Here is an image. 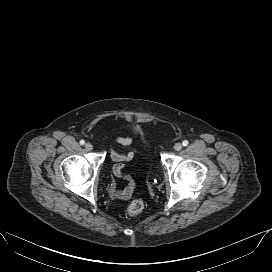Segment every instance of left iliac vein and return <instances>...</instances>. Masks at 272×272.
Wrapping results in <instances>:
<instances>
[{"label":"left iliac vein","instance_id":"1","mask_svg":"<svg viewBox=\"0 0 272 272\" xmlns=\"http://www.w3.org/2000/svg\"><path fill=\"white\" fill-rule=\"evenodd\" d=\"M182 144L181 143H176L175 145H174V149L176 150V151H180L181 149H182Z\"/></svg>","mask_w":272,"mask_h":272}]
</instances>
